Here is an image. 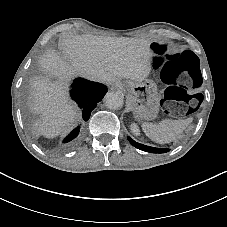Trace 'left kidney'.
Masks as SVG:
<instances>
[{"label": "left kidney", "mask_w": 227, "mask_h": 227, "mask_svg": "<svg viewBox=\"0 0 227 227\" xmlns=\"http://www.w3.org/2000/svg\"><path fill=\"white\" fill-rule=\"evenodd\" d=\"M131 131L134 133V134H138L139 133V129L136 125H132L131 126Z\"/></svg>", "instance_id": "obj_1"}]
</instances>
